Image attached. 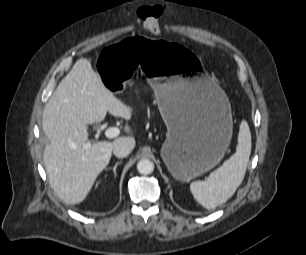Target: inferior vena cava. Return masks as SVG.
Returning <instances> with one entry per match:
<instances>
[{
  "label": "inferior vena cava",
  "mask_w": 306,
  "mask_h": 255,
  "mask_svg": "<svg viewBox=\"0 0 306 255\" xmlns=\"http://www.w3.org/2000/svg\"><path fill=\"white\" fill-rule=\"evenodd\" d=\"M133 148L134 146L131 141L128 139H124L115 144L113 148V153L118 158H124L130 154Z\"/></svg>",
  "instance_id": "obj_1"
}]
</instances>
